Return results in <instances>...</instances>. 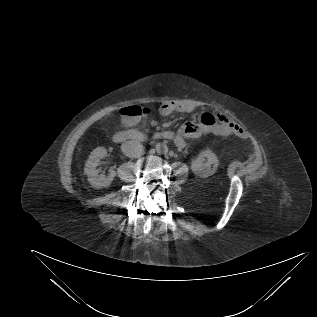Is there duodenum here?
<instances>
[{
	"mask_svg": "<svg viewBox=\"0 0 317 317\" xmlns=\"http://www.w3.org/2000/svg\"><path fill=\"white\" fill-rule=\"evenodd\" d=\"M174 137V133L172 131H160L155 134L156 140H171ZM113 139L117 143H123L128 141H138L143 142L146 140V136L141 131L137 130H122L117 131L113 135Z\"/></svg>",
	"mask_w": 317,
	"mask_h": 317,
	"instance_id": "obj_1",
	"label": "duodenum"
}]
</instances>
